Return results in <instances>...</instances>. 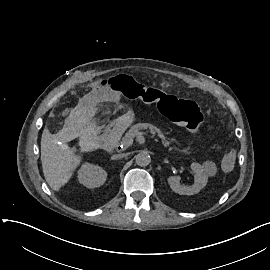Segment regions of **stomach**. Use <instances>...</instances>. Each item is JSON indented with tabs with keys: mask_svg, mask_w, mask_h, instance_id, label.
<instances>
[{
	"mask_svg": "<svg viewBox=\"0 0 270 270\" xmlns=\"http://www.w3.org/2000/svg\"><path fill=\"white\" fill-rule=\"evenodd\" d=\"M135 121H136V115H135V113H134L133 111H131V112H130L129 118H128L126 121L122 122L121 124H122L124 127H129V126H131L133 123H135Z\"/></svg>",
	"mask_w": 270,
	"mask_h": 270,
	"instance_id": "obj_1",
	"label": "stomach"
}]
</instances>
